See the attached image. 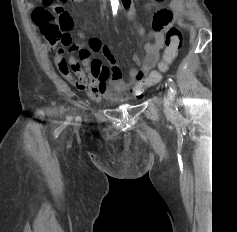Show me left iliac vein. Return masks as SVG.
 <instances>
[{"instance_id":"obj_1","label":"left iliac vein","mask_w":237,"mask_h":232,"mask_svg":"<svg viewBox=\"0 0 237 232\" xmlns=\"http://www.w3.org/2000/svg\"><path fill=\"white\" fill-rule=\"evenodd\" d=\"M173 95L170 90H167L164 96V108L167 112L172 110Z\"/></svg>"}]
</instances>
